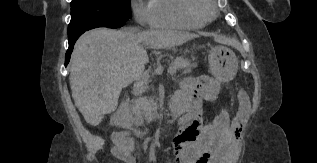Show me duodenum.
I'll return each instance as SVG.
<instances>
[{
  "instance_id": "410a0bca",
  "label": "duodenum",
  "mask_w": 317,
  "mask_h": 163,
  "mask_svg": "<svg viewBox=\"0 0 317 163\" xmlns=\"http://www.w3.org/2000/svg\"><path fill=\"white\" fill-rule=\"evenodd\" d=\"M111 122L115 127L130 125L128 119V105L126 103H122L120 107L112 114ZM119 138L120 137L117 138V143Z\"/></svg>"
}]
</instances>
